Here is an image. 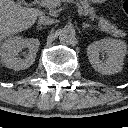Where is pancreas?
I'll return each instance as SVG.
<instances>
[{"label": "pancreas", "instance_id": "cf45deb5", "mask_svg": "<svg viewBox=\"0 0 128 128\" xmlns=\"http://www.w3.org/2000/svg\"><path fill=\"white\" fill-rule=\"evenodd\" d=\"M63 0H60L62 2ZM79 1V10L81 15L89 16L90 20H98V28L100 31L106 32L111 34L114 37H124L125 33L118 29L117 26L111 24L108 20L104 17H98L94 8L91 6L90 0H78Z\"/></svg>", "mask_w": 128, "mask_h": 128}]
</instances>
